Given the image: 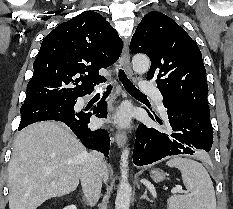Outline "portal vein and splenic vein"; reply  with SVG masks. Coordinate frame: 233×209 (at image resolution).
Masks as SVG:
<instances>
[{
  "instance_id": "obj_1",
  "label": "portal vein and splenic vein",
  "mask_w": 233,
  "mask_h": 209,
  "mask_svg": "<svg viewBox=\"0 0 233 209\" xmlns=\"http://www.w3.org/2000/svg\"><path fill=\"white\" fill-rule=\"evenodd\" d=\"M54 185V183H52ZM182 192V188H175L172 190V193Z\"/></svg>"
}]
</instances>
